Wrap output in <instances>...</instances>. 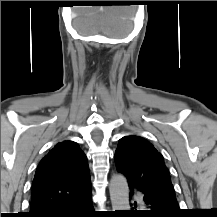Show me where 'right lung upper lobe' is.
I'll return each mask as SVG.
<instances>
[{
	"label": "right lung upper lobe",
	"mask_w": 217,
	"mask_h": 217,
	"mask_svg": "<svg viewBox=\"0 0 217 217\" xmlns=\"http://www.w3.org/2000/svg\"><path fill=\"white\" fill-rule=\"evenodd\" d=\"M91 194L87 158L79 145L63 141L40 161L32 184L29 216L37 217L64 202Z\"/></svg>",
	"instance_id": "1"
}]
</instances>
